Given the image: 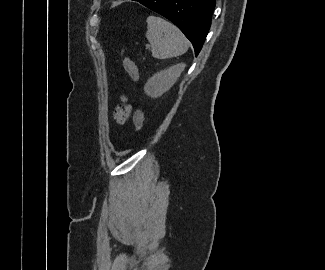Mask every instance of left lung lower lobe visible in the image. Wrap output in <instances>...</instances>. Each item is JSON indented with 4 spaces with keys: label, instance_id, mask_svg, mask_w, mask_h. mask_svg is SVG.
<instances>
[{
    "label": "left lung lower lobe",
    "instance_id": "left-lung-lower-lobe-1",
    "mask_svg": "<svg viewBox=\"0 0 325 270\" xmlns=\"http://www.w3.org/2000/svg\"><path fill=\"white\" fill-rule=\"evenodd\" d=\"M173 22L200 52L211 25L216 0H134Z\"/></svg>",
    "mask_w": 325,
    "mask_h": 270
}]
</instances>
